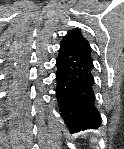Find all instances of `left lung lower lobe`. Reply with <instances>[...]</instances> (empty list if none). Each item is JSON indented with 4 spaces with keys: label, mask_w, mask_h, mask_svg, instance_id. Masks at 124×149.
<instances>
[{
    "label": "left lung lower lobe",
    "mask_w": 124,
    "mask_h": 149,
    "mask_svg": "<svg viewBox=\"0 0 124 149\" xmlns=\"http://www.w3.org/2000/svg\"><path fill=\"white\" fill-rule=\"evenodd\" d=\"M56 65V97L70 133L99 128L101 117L95 106L91 56L64 37Z\"/></svg>",
    "instance_id": "1"
}]
</instances>
